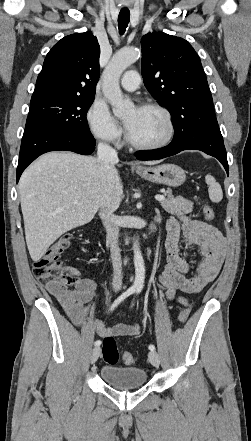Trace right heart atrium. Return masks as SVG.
<instances>
[{
  "label": "right heart atrium",
  "instance_id": "d8ad5b80",
  "mask_svg": "<svg viewBox=\"0 0 251 441\" xmlns=\"http://www.w3.org/2000/svg\"><path fill=\"white\" fill-rule=\"evenodd\" d=\"M87 121L91 133L98 140L110 143L120 140L122 130L107 106L100 100L91 104L87 112Z\"/></svg>",
  "mask_w": 251,
  "mask_h": 441
}]
</instances>
